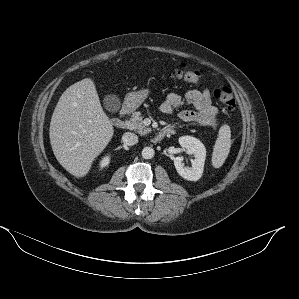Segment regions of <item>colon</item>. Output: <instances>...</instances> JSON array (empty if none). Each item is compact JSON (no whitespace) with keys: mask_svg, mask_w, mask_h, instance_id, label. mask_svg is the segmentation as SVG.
<instances>
[{"mask_svg":"<svg viewBox=\"0 0 299 299\" xmlns=\"http://www.w3.org/2000/svg\"><path fill=\"white\" fill-rule=\"evenodd\" d=\"M172 75L190 84L198 85L202 79L200 70L189 69L185 64H178L172 72ZM214 97L222 103L228 110L236 107V100L230 87L222 86L214 91Z\"/></svg>","mask_w":299,"mask_h":299,"instance_id":"colon-1","label":"colon"}]
</instances>
